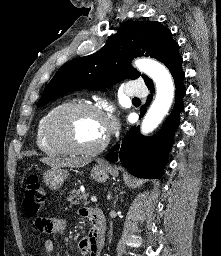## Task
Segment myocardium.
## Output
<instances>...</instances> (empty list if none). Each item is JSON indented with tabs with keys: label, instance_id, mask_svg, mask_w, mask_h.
I'll list each match as a JSON object with an SVG mask.
<instances>
[{
	"label": "myocardium",
	"instance_id": "1",
	"mask_svg": "<svg viewBox=\"0 0 221 256\" xmlns=\"http://www.w3.org/2000/svg\"><path fill=\"white\" fill-rule=\"evenodd\" d=\"M92 112L106 121V114L97 105L87 102H72L59 108L49 119L47 136L49 140L61 146L67 153L76 155H95L103 151L108 145L109 136L93 147H81L73 142L68 132L69 118L79 112Z\"/></svg>",
	"mask_w": 221,
	"mask_h": 256
}]
</instances>
